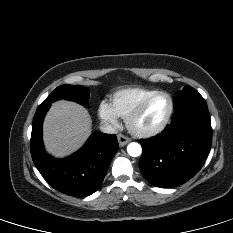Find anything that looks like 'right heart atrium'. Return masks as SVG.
I'll use <instances>...</instances> for the list:
<instances>
[{
    "mask_svg": "<svg viewBox=\"0 0 233 233\" xmlns=\"http://www.w3.org/2000/svg\"><path fill=\"white\" fill-rule=\"evenodd\" d=\"M98 113L100 118L112 128H116L118 126V116L109 103L105 101L101 102L99 105Z\"/></svg>",
    "mask_w": 233,
    "mask_h": 233,
    "instance_id": "right-heart-atrium-1",
    "label": "right heart atrium"
}]
</instances>
